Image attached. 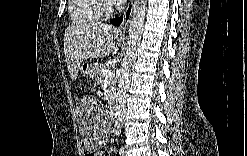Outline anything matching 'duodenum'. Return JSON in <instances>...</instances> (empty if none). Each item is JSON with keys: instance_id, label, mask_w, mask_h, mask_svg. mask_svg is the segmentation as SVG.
<instances>
[{"instance_id": "obj_1", "label": "duodenum", "mask_w": 247, "mask_h": 156, "mask_svg": "<svg viewBox=\"0 0 247 156\" xmlns=\"http://www.w3.org/2000/svg\"><path fill=\"white\" fill-rule=\"evenodd\" d=\"M109 114L112 119L115 118L116 115V102L114 97H110L109 99Z\"/></svg>"}]
</instances>
